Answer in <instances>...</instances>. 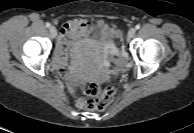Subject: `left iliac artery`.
I'll return each mask as SVG.
<instances>
[{
  "instance_id": "left-iliac-artery-1",
  "label": "left iliac artery",
  "mask_w": 194,
  "mask_h": 133,
  "mask_svg": "<svg viewBox=\"0 0 194 133\" xmlns=\"http://www.w3.org/2000/svg\"><path fill=\"white\" fill-rule=\"evenodd\" d=\"M135 28H136L137 30L140 29V25L137 24V25L135 26Z\"/></svg>"
}]
</instances>
